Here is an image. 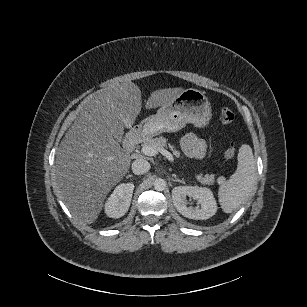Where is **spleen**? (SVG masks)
I'll list each match as a JSON object with an SVG mask.
<instances>
[{"label": "spleen", "instance_id": "spleen-1", "mask_svg": "<svg viewBox=\"0 0 307 307\" xmlns=\"http://www.w3.org/2000/svg\"><path fill=\"white\" fill-rule=\"evenodd\" d=\"M256 162L252 148L243 144L239 148L238 165L234 174L220 185L218 198L225 213H232L256 191Z\"/></svg>", "mask_w": 307, "mask_h": 307}]
</instances>
